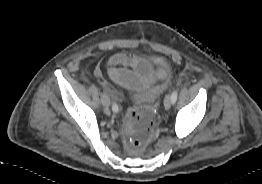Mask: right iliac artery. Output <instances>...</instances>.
Instances as JSON below:
<instances>
[{"instance_id":"right-iliac-artery-1","label":"right iliac artery","mask_w":262,"mask_h":184,"mask_svg":"<svg viewBox=\"0 0 262 184\" xmlns=\"http://www.w3.org/2000/svg\"><path fill=\"white\" fill-rule=\"evenodd\" d=\"M112 110H113V112L119 111L118 105L116 103H113Z\"/></svg>"}]
</instances>
